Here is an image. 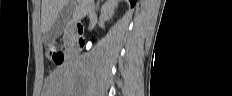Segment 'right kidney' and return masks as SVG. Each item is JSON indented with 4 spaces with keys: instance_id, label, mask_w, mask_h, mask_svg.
<instances>
[{
    "instance_id": "obj_1",
    "label": "right kidney",
    "mask_w": 232,
    "mask_h": 96,
    "mask_svg": "<svg viewBox=\"0 0 232 96\" xmlns=\"http://www.w3.org/2000/svg\"><path fill=\"white\" fill-rule=\"evenodd\" d=\"M117 7V0H107L101 8L100 20L108 21L114 14V10Z\"/></svg>"
}]
</instances>
